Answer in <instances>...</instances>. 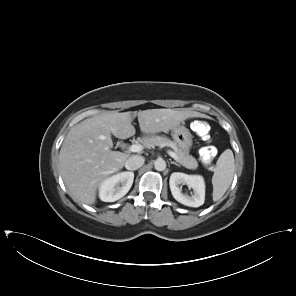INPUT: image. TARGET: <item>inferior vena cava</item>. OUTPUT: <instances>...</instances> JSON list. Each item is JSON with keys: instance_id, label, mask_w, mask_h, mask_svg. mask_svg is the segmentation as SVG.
Listing matches in <instances>:
<instances>
[{"instance_id": "1", "label": "inferior vena cava", "mask_w": 296, "mask_h": 296, "mask_svg": "<svg viewBox=\"0 0 296 296\" xmlns=\"http://www.w3.org/2000/svg\"><path fill=\"white\" fill-rule=\"evenodd\" d=\"M144 164V158L140 155H133L125 162V167L128 170H137Z\"/></svg>"}]
</instances>
